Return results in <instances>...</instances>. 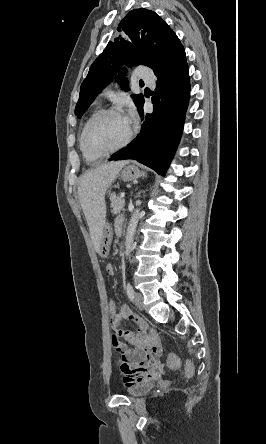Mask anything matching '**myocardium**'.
Here are the masks:
<instances>
[{
	"instance_id": "f54148a6",
	"label": "myocardium",
	"mask_w": 266,
	"mask_h": 444,
	"mask_svg": "<svg viewBox=\"0 0 266 444\" xmlns=\"http://www.w3.org/2000/svg\"><path fill=\"white\" fill-rule=\"evenodd\" d=\"M106 115H120V116H123V114H122L119 110H117V109H113V108H108V109H102V110H99L98 112H96V113H95V114H94V115L88 120V122L86 123V125H85V127H84V129H83V131H82V134H81V146H82L83 150H84L86 153L90 154V155L101 156V157H103V156H107V155H110V154H112V153H115V152H117V151H119V150L125 148V147L131 142V140H132V138H133V134H134V132H133V129L130 127L129 132H128V135H127L126 138L123 140V142H122L121 144H119L117 147L112 148V149H109V150H106V151H103V152H96V151L92 150V149L88 146L87 141H86L88 131H89V129L91 128V126H92V125H93L98 119H100L101 117L106 116Z\"/></svg>"
}]
</instances>
